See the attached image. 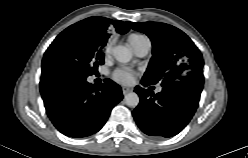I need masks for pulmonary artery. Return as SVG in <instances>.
Wrapping results in <instances>:
<instances>
[{
  "label": "pulmonary artery",
  "instance_id": "1",
  "mask_svg": "<svg viewBox=\"0 0 248 158\" xmlns=\"http://www.w3.org/2000/svg\"><path fill=\"white\" fill-rule=\"evenodd\" d=\"M151 48V43L150 40L147 37L142 38L139 40L134 46H133V51L134 53L139 56V57H144L146 56ZM161 91V87L157 88V92Z\"/></svg>",
  "mask_w": 248,
  "mask_h": 158
}]
</instances>
